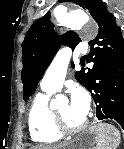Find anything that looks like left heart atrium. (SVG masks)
Returning a JSON list of instances; mask_svg holds the SVG:
<instances>
[{"label": "left heart atrium", "instance_id": "obj_1", "mask_svg": "<svg viewBox=\"0 0 124 149\" xmlns=\"http://www.w3.org/2000/svg\"><path fill=\"white\" fill-rule=\"evenodd\" d=\"M70 107L74 114L86 118L90 110V99L83 88L78 87L72 90Z\"/></svg>", "mask_w": 124, "mask_h": 149}]
</instances>
